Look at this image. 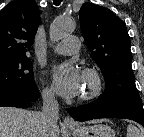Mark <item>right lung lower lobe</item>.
<instances>
[{
	"mask_svg": "<svg viewBox=\"0 0 144 137\" xmlns=\"http://www.w3.org/2000/svg\"><path fill=\"white\" fill-rule=\"evenodd\" d=\"M40 95L36 98H28L20 94L6 92L0 93V107H19V108H27L31 106L32 101H36Z\"/></svg>",
	"mask_w": 144,
	"mask_h": 137,
	"instance_id": "right-lung-lower-lobe-1",
	"label": "right lung lower lobe"
}]
</instances>
